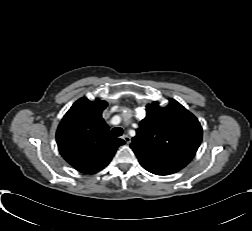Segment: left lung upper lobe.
Instances as JSON below:
<instances>
[{
	"label": "left lung upper lobe",
	"instance_id": "5c2ea615",
	"mask_svg": "<svg viewBox=\"0 0 252 231\" xmlns=\"http://www.w3.org/2000/svg\"><path fill=\"white\" fill-rule=\"evenodd\" d=\"M202 141L197 118L176 100L162 108L158 102L146 106L130 147L139 161L177 162L187 165Z\"/></svg>",
	"mask_w": 252,
	"mask_h": 231
}]
</instances>
